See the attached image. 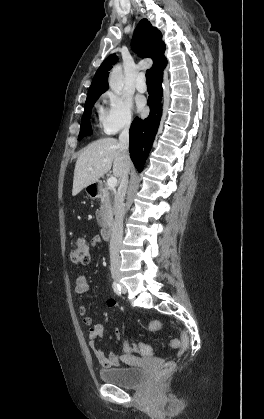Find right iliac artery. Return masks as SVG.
Segmentation results:
<instances>
[{"label":"right iliac artery","mask_w":264,"mask_h":419,"mask_svg":"<svg viewBox=\"0 0 264 419\" xmlns=\"http://www.w3.org/2000/svg\"><path fill=\"white\" fill-rule=\"evenodd\" d=\"M112 288L117 295H119V296L121 295V288H120V285L117 282H115V281L113 282Z\"/></svg>","instance_id":"obj_1"}]
</instances>
